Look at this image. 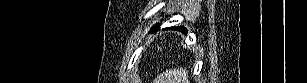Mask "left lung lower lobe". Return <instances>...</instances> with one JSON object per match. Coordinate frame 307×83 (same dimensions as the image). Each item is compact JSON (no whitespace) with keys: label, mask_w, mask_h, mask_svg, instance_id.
<instances>
[{"label":"left lung lower lobe","mask_w":307,"mask_h":83,"mask_svg":"<svg viewBox=\"0 0 307 83\" xmlns=\"http://www.w3.org/2000/svg\"><path fill=\"white\" fill-rule=\"evenodd\" d=\"M156 28H157V26L153 27V28H152V31H153V30H156ZM174 29H177V30H179V31H182V32H185V33H186V29H185L184 27H180V28L178 27V28H174Z\"/></svg>","instance_id":"1"}]
</instances>
